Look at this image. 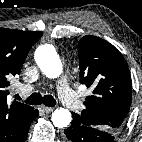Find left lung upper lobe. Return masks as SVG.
<instances>
[{"label": "left lung upper lobe", "instance_id": "obj_1", "mask_svg": "<svg viewBox=\"0 0 142 142\" xmlns=\"http://www.w3.org/2000/svg\"><path fill=\"white\" fill-rule=\"evenodd\" d=\"M80 82L93 90L86 109L72 113L81 125L110 131L123 127L132 99L130 72L122 54L107 41L86 35L78 43Z\"/></svg>", "mask_w": 142, "mask_h": 142}]
</instances>
